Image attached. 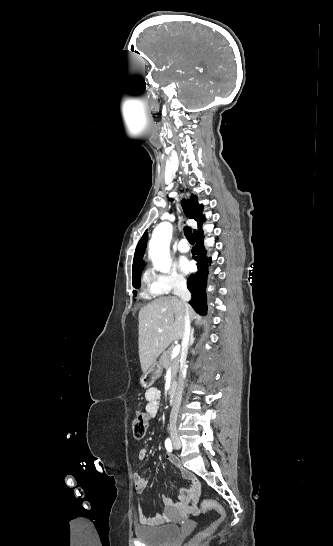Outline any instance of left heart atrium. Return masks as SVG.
<instances>
[{
  "mask_svg": "<svg viewBox=\"0 0 333 546\" xmlns=\"http://www.w3.org/2000/svg\"><path fill=\"white\" fill-rule=\"evenodd\" d=\"M178 265L183 273H188L191 270L190 262L184 257L180 258Z\"/></svg>",
  "mask_w": 333,
  "mask_h": 546,
  "instance_id": "1",
  "label": "left heart atrium"
}]
</instances>
